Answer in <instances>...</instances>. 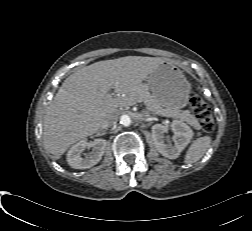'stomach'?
Masks as SVG:
<instances>
[{
	"instance_id": "obj_1",
	"label": "stomach",
	"mask_w": 252,
	"mask_h": 231,
	"mask_svg": "<svg viewBox=\"0 0 252 231\" xmlns=\"http://www.w3.org/2000/svg\"><path fill=\"white\" fill-rule=\"evenodd\" d=\"M147 85L154 100L163 109H181L189 100L191 84L180 69L163 62L149 75Z\"/></svg>"
}]
</instances>
